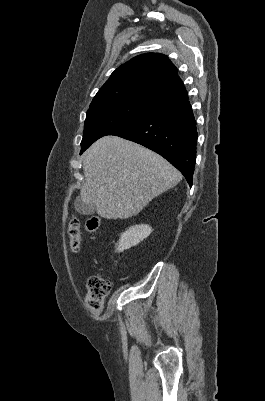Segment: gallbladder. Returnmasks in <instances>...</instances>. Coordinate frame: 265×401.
<instances>
[{"mask_svg":"<svg viewBox=\"0 0 265 401\" xmlns=\"http://www.w3.org/2000/svg\"><path fill=\"white\" fill-rule=\"evenodd\" d=\"M75 211L80 213V215H93L96 211V205L91 203V205H85L83 201H81L80 196H77L76 201H74Z\"/></svg>","mask_w":265,"mask_h":401,"instance_id":"gallbladder-1","label":"gallbladder"}]
</instances>
